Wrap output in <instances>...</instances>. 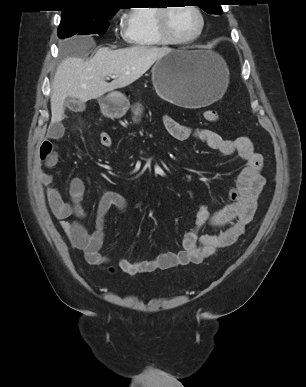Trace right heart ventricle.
I'll use <instances>...</instances> for the list:
<instances>
[{"instance_id": "right-heart-ventricle-1", "label": "right heart ventricle", "mask_w": 306, "mask_h": 387, "mask_svg": "<svg viewBox=\"0 0 306 387\" xmlns=\"http://www.w3.org/2000/svg\"><path fill=\"white\" fill-rule=\"evenodd\" d=\"M158 8L137 7L130 10L124 19V37L132 46L152 48L165 45L156 27Z\"/></svg>"}]
</instances>
